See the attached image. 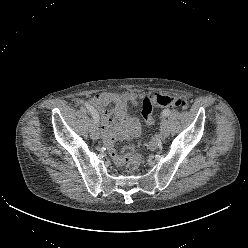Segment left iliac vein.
<instances>
[{
  "label": "left iliac vein",
  "instance_id": "1",
  "mask_svg": "<svg viewBox=\"0 0 248 248\" xmlns=\"http://www.w3.org/2000/svg\"><path fill=\"white\" fill-rule=\"evenodd\" d=\"M160 130L164 137H167L169 135L168 124L165 118L162 119Z\"/></svg>",
  "mask_w": 248,
  "mask_h": 248
}]
</instances>
